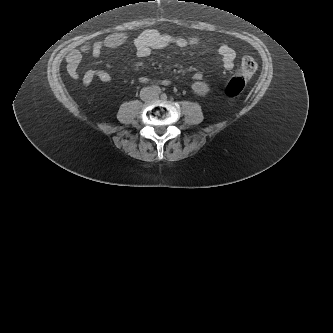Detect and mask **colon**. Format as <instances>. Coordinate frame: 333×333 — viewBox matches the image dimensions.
Returning a JSON list of instances; mask_svg holds the SVG:
<instances>
[{"mask_svg": "<svg viewBox=\"0 0 333 333\" xmlns=\"http://www.w3.org/2000/svg\"><path fill=\"white\" fill-rule=\"evenodd\" d=\"M257 64L253 58L246 56L242 59L239 71L228 81L224 88V94L233 98L244 89L246 81L255 73Z\"/></svg>", "mask_w": 333, "mask_h": 333, "instance_id": "5ec220e1", "label": "colon"}]
</instances>
